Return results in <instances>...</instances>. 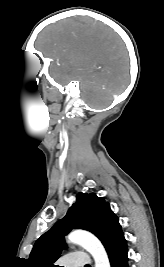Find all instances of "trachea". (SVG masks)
Listing matches in <instances>:
<instances>
[{"label":"trachea","instance_id":"1","mask_svg":"<svg viewBox=\"0 0 164 267\" xmlns=\"http://www.w3.org/2000/svg\"><path fill=\"white\" fill-rule=\"evenodd\" d=\"M85 267H90V265H86Z\"/></svg>","mask_w":164,"mask_h":267}]
</instances>
